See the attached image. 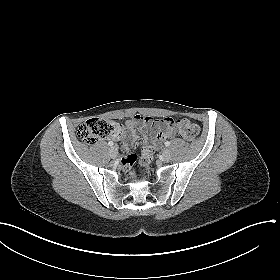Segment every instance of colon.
<instances>
[{"label": "colon", "mask_w": 280, "mask_h": 280, "mask_svg": "<svg viewBox=\"0 0 280 280\" xmlns=\"http://www.w3.org/2000/svg\"><path fill=\"white\" fill-rule=\"evenodd\" d=\"M176 131L186 140H194L199 134V127L188 119H177L174 122ZM121 127L114 121L92 118L82 123L77 129L78 138L87 144H94L100 139L116 135ZM154 149L151 146L143 148L140 155V162L143 166H149L152 160ZM138 156L129 154L121 159V165L126 171H132Z\"/></svg>", "instance_id": "1"}]
</instances>
